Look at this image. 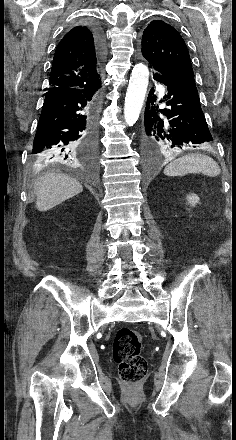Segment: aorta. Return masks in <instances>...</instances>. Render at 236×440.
I'll use <instances>...</instances> for the list:
<instances>
[{"label":"aorta","mask_w":236,"mask_h":440,"mask_svg":"<svg viewBox=\"0 0 236 440\" xmlns=\"http://www.w3.org/2000/svg\"><path fill=\"white\" fill-rule=\"evenodd\" d=\"M149 82L148 68L136 64L131 73L124 104V119L129 126H133L140 115Z\"/></svg>","instance_id":"obj_1"}]
</instances>
